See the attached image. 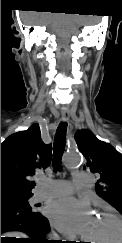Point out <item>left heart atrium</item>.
<instances>
[{
    "label": "left heart atrium",
    "mask_w": 122,
    "mask_h": 243,
    "mask_svg": "<svg viewBox=\"0 0 122 243\" xmlns=\"http://www.w3.org/2000/svg\"><path fill=\"white\" fill-rule=\"evenodd\" d=\"M47 216L62 233L84 236L93 213L87 202L67 196L51 202L47 208Z\"/></svg>",
    "instance_id": "left-heart-atrium-1"
}]
</instances>
